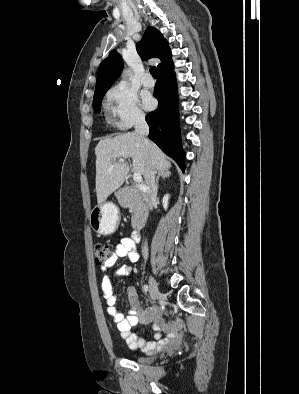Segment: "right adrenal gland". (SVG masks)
<instances>
[{
    "mask_svg": "<svg viewBox=\"0 0 299 394\" xmlns=\"http://www.w3.org/2000/svg\"><path fill=\"white\" fill-rule=\"evenodd\" d=\"M171 175V172L169 171V169H164V170H160L158 171V176L156 179V187L158 188V183H159V179L160 178H169Z\"/></svg>",
    "mask_w": 299,
    "mask_h": 394,
    "instance_id": "right-adrenal-gland-1",
    "label": "right adrenal gland"
}]
</instances>
